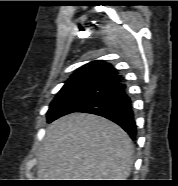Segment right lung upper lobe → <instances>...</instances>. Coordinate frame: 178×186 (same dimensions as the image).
Listing matches in <instances>:
<instances>
[{"instance_id":"cb5924a9","label":"right lung upper lobe","mask_w":178,"mask_h":186,"mask_svg":"<svg viewBox=\"0 0 178 186\" xmlns=\"http://www.w3.org/2000/svg\"><path fill=\"white\" fill-rule=\"evenodd\" d=\"M119 81H121V76L111 64L102 60H96L75 71L61 90L90 84L112 86Z\"/></svg>"}]
</instances>
